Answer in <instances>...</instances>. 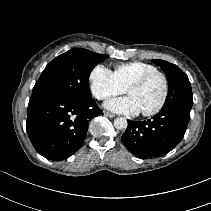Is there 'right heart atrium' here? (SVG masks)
<instances>
[{
    "mask_svg": "<svg viewBox=\"0 0 211 211\" xmlns=\"http://www.w3.org/2000/svg\"><path fill=\"white\" fill-rule=\"evenodd\" d=\"M89 83L91 93L99 100L122 94L125 91L114 73L102 64H97L92 68Z\"/></svg>",
    "mask_w": 211,
    "mask_h": 211,
    "instance_id": "d8ad5b80",
    "label": "right heart atrium"
}]
</instances>
